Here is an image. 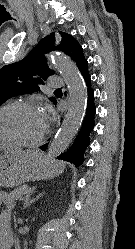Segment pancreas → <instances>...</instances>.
Returning <instances> with one entry per match:
<instances>
[{
  "mask_svg": "<svg viewBox=\"0 0 135 249\" xmlns=\"http://www.w3.org/2000/svg\"><path fill=\"white\" fill-rule=\"evenodd\" d=\"M27 193L25 188H17L9 193L8 197L12 201L13 199L20 200Z\"/></svg>",
  "mask_w": 135,
  "mask_h": 249,
  "instance_id": "obj_1",
  "label": "pancreas"
}]
</instances>
